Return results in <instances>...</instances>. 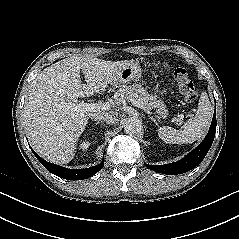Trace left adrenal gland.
I'll list each match as a JSON object with an SVG mask.
<instances>
[{
	"label": "left adrenal gland",
	"mask_w": 239,
	"mask_h": 239,
	"mask_svg": "<svg viewBox=\"0 0 239 239\" xmlns=\"http://www.w3.org/2000/svg\"><path fill=\"white\" fill-rule=\"evenodd\" d=\"M150 119L158 126L156 120L153 117H150Z\"/></svg>",
	"instance_id": "a2214340"
}]
</instances>
